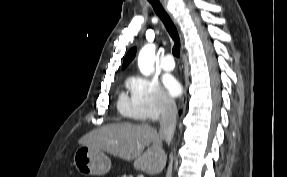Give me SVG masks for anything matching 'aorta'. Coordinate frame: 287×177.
Listing matches in <instances>:
<instances>
[{"label":"aorta","mask_w":287,"mask_h":177,"mask_svg":"<svg viewBox=\"0 0 287 177\" xmlns=\"http://www.w3.org/2000/svg\"><path fill=\"white\" fill-rule=\"evenodd\" d=\"M155 45L148 44L142 48L138 56V66L144 75H150L154 69Z\"/></svg>","instance_id":"aorta-1"}]
</instances>
